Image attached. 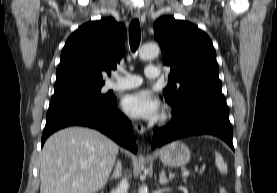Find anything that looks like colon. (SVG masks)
I'll use <instances>...</instances> for the list:
<instances>
[{
	"instance_id": "5ec220e1",
	"label": "colon",
	"mask_w": 277,
	"mask_h": 193,
	"mask_svg": "<svg viewBox=\"0 0 277 193\" xmlns=\"http://www.w3.org/2000/svg\"><path fill=\"white\" fill-rule=\"evenodd\" d=\"M219 193H228L225 187H221Z\"/></svg>"
}]
</instances>
